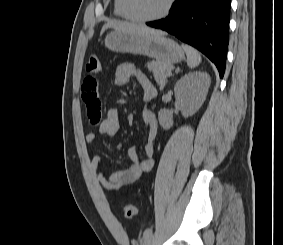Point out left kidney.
<instances>
[{
	"mask_svg": "<svg viewBox=\"0 0 283 245\" xmlns=\"http://www.w3.org/2000/svg\"><path fill=\"white\" fill-rule=\"evenodd\" d=\"M210 83V76L206 72L200 71L190 72L177 81L174 87L175 98L185 118L195 114L202 106ZM158 119L165 130L170 129L173 125V113L170 110L161 109Z\"/></svg>",
	"mask_w": 283,
	"mask_h": 245,
	"instance_id": "left-kidney-1",
	"label": "left kidney"
}]
</instances>
